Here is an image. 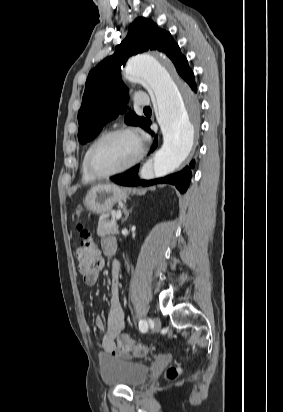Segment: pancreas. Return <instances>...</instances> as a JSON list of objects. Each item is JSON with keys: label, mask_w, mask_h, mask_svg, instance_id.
I'll list each match as a JSON object with an SVG mask.
<instances>
[{"label": "pancreas", "mask_w": 283, "mask_h": 412, "mask_svg": "<svg viewBox=\"0 0 283 412\" xmlns=\"http://www.w3.org/2000/svg\"><path fill=\"white\" fill-rule=\"evenodd\" d=\"M118 225L116 224V214H112V219L101 217L98 223L97 235L105 236L110 234H118Z\"/></svg>", "instance_id": "obj_1"}]
</instances>
